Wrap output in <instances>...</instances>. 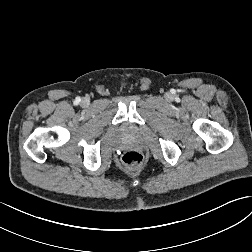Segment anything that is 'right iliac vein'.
<instances>
[{"instance_id":"obj_1","label":"right iliac vein","mask_w":252,"mask_h":252,"mask_svg":"<svg viewBox=\"0 0 252 252\" xmlns=\"http://www.w3.org/2000/svg\"><path fill=\"white\" fill-rule=\"evenodd\" d=\"M89 103H90V101H89L88 98H84V99H82V101H81V105H82L83 107L88 106Z\"/></svg>"}]
</instances>
